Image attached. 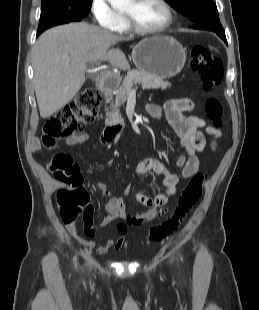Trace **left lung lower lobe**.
Returning a JSON list of instances; mask_svg holds the SVG:
<instances>
[{"mask_svg":"<svg viewBox=\"0 0 259 310\" xmlns=\"http://www.w3.org/2000/svg\"><path fill=\"white\" fill-rule=\"evenodd\" d=\"M219 36L227 44L226 36L223 34H219Z\"/></svg>","mask_w":259,"mask_h":310,"instance_id":"left-lung-lower-lobe-1","label":"left lung lower lobe"}]
</instances>
